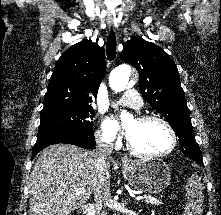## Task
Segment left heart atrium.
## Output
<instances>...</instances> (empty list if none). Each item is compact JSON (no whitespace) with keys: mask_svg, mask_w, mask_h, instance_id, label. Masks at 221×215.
Masks as SVG:
<instances>
[{"mask_svg":"<svg viewBox=\"0 0 221 215\" xmlns=\"http://www.w3.org/2000/svg\"><path fill=\"white\" fill-rule=\"evenodd\" d=\"M106 129H107V132L111 134V133H114V132H116L118 130V126H117L116 122L108 121L106 123ZM125 133L128 136L127 130L125 131Z\"/></svg>","mask_w":221,"mask_h":215,"instance_id":"obj_1","label":"left heart atrium"}]
</instances>
